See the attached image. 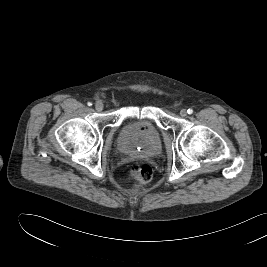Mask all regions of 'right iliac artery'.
I'll return each mask as SVG.
<instances>
[{
  "mask_svg": "<svg viewBox=\"0 0 267 267\" xmlns=\"http://www.w3.org/2000/svg\"><path fill=\"white\" fill-rule=\"evenodd\" d=\"M87 105H88V106H91V105H92V103H91V102H88V103H87Z\"/></svg>",
  "mask_w": 267,
  "mask_h": 267,
  "instance_id": "1",
  "label": "right iliac artery"
}]
</instances>
